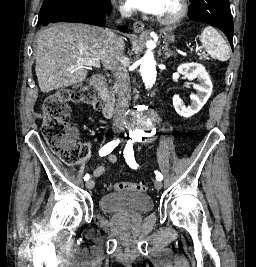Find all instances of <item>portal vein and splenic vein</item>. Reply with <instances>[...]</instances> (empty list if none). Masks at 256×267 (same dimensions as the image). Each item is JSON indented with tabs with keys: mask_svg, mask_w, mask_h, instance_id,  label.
Instances as JSON below:
<instances>
[{
	"mask_svg": "<svg viewBox=\"0 0 256 267\" xmlns=\"http://www.w3.org/2000/svg\"><path fill=\"white\" fill-rule=\"evenodd\" d=\"M192 55L202 56L203 52L201 51L200 48H194ZM84 66H94V68H100V64H84ZM80 68H83V66H80Z\"/></svg>",
	"mask_w": 256,
	"mask_h": 267,
	"instance_id": "18ae733b",
	"label": "portal vein and splenic vein"
}]
</instances>
